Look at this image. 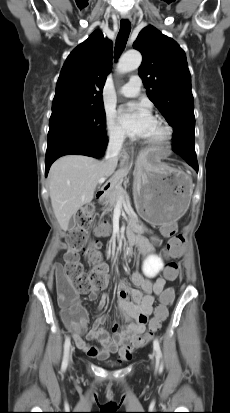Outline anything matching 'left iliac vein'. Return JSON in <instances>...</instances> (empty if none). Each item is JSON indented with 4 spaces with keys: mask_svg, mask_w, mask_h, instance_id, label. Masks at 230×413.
I'll use <instances>...</instances> for the list:
<instances>
[{
    "mask_svg": "<svg viewBox=\"0 0 230 413\" xmlns=\"http://www.w3.org/2000/svg\"><path fill=\"white\" fill-rule=\"evenodd\" d=\"M150 357H151V359H152V363L154 364V361H155V354H154V353H152Z\"/></svg>",
    "mask_w": 230,
    "mask_h": 413,
    "instance_id": "left-iliac-vein-1",
    "label": "left iliac vein"
}]
</instances>
